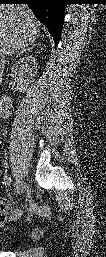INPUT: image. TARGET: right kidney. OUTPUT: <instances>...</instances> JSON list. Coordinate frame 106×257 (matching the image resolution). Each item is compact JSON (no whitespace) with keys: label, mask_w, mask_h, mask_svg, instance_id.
Segmentation results:
<instances>
[{"label":"right kidney","mask_w":106,"mask_h":257,"mask_svg":"<svg viewBox=\"0 0 106 257\" xmlns=\"http://www.w3.org/2000/svg\"><path fill=\"white\" fill-rule=\"evenodd\" d=\"M37 65L36 58L31 56L22 58L13 65L11 72L16 79L17 90L23 91L30 83H32L33 77L37 71ZM11 105V99L8 96H3L1 99V109L6 108L7 110Z\"/></svg>","instance_id":"ca27d5eb"}]
</instances>
